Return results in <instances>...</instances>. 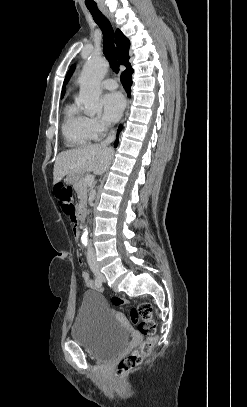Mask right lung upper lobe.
<instances>
[{
    "instance_id": "right-lung-upper-lobe-1",
    "label": "right lung upper lobe",
    "mask_w": 247,
    "mask_h": 407,
    "mask_svg": "<svg viewBox=\"0 0 247 407\" xmlns=\"http://www.w3.org/2000/svg\"><path fill=\"white\" fill-rule=\"evenodd\" d=\"M116 45L118 50V60L120 64H124L126 67L130 66L129 60V40L124 36V34L117 29L116 30ZM64 95V90L62 91V96Z\"/></svg>"
}]
</instances>
